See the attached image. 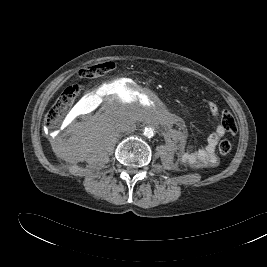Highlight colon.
Returning <instances> with one entry per match:
<instances>
[{
  "label": "colon",
  "instance_id": "obj_1",
  "mask_svg": "<svg viewBox=\"0 0 267 267\" xmlns=\"http://www.w3.org/2000/svg\"><path fill=\"white\" fill-rule=\"evenodd\" d=\"M111 68L110 62L96 64L93 66L85 67L80 70V76L82 78H94L102 75ZM79 93L78 85H70L66 87L57 100L48 109L45 115V123L49 128L56 127L66 116L68 110L74 103ZM222 124L226 130L230 133H234L237 130L236 121L234 116L229 111H222ZM231 143L229 140L224 139L219 143L218 150L220 154L227 155L231 151Z\"/></svg>",
  "mask_w": 267,
  "mask_h": 267
}]
</instances>
